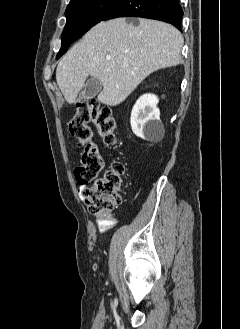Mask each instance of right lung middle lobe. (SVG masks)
Masks as SVG:
<instances>
[{
	"instance_id": "right-lung-middle-lobe-1",
	"label": "right lung middle lobe",
	"mask_w": 240,
	"mask_h": 329,
	"mask_svg": "<svg viewBox=\"0 0 240 329\" xmlns=\"http://www.w3.org/2000/svg\"><path fill=\"white\" fill-rule=\"evenodd\" d=\"M121 0H75L65 11L67 18L61 38V49L56 58L61 57L70 44L85 34Z\"/></svg>"
}]
</instances>
